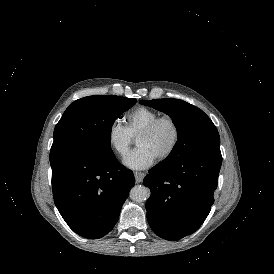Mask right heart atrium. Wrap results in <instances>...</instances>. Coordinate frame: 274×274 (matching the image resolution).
Returning <instances> with one entry per match:
<instances>
[{
  "label": "right heart atrium",
  "mask_w": 274,
  "mask_h": 274,
  "mask_svg": "<svg viewBox=\"0 0 274 274\" xmlns=\"http://www.w3.org/2000/svg\"><path fill=\"white\" fill-rule=\"evenodd\" d=\"M106 140L109 148L120 155L128 150L131 143V137L125 127L118 123H111L108 126Z\"/></svg>",
  "instance_id": "right-heart-atrium-1"
}]
</instances>
